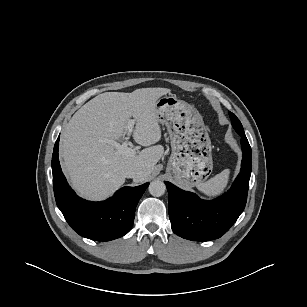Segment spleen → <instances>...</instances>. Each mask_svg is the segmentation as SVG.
<instances>
[{"instance_id": "3e777b00", "label": "spleen", "mask_w": 307, "mask_h": 307, "mask_svg": "<svg viewBox=\"0 0 307 307\" xmlns=\"http://www.w3.org/2000/svg\"><path fill=\"white\" fill-rule=\"evenodd\" d=\"M230 170L225 169L206 182L200 183L197 188L208 197L220 195L226 188L229 180Z\"/></svg>"}]
</instances>
